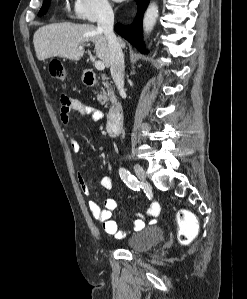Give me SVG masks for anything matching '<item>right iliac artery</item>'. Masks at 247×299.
Instances as JSON below:
<instances>
[{"mask_svg":"<svg viewBox=\"0 0 247 299\" xmlns=\"http://www.w3.org/2000/svg\"><path fill=\"white\" fill-rule=\"evenodd\" d=\"M120 177L123 180V182L132 190L138 191L139 190V181L137 178L126 169L120 170Z\"/></svg>","mask_w":247,"mask_h":299,"instance_id":"right-iliac-artery-1","label":"right iliac artery"}]
</instances>
